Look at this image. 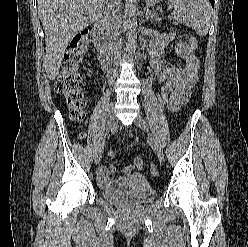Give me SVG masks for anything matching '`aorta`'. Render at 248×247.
<instances>
[{
  "label": "aorta",
  "instance_id": "aorta-1",
  "mask_svg": "<svg viewBox=\"0 0 248 247\" xmlns=\"http://www.w3.org/2000/svg\"><path fill=\"white\" fill-rule=\"evenodd\" d=\"M133 0H129L127 14V26H126V50L130 56L135 54L137 48V13L136 7L132 4Z\"/></svg>",
  "mask_w": 248,
  "mask_h": 247
}]
</instances>
